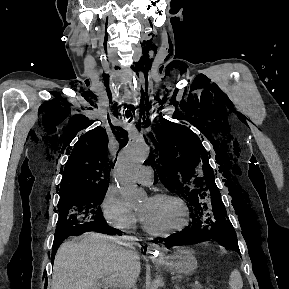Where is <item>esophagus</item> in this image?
<instances>
[{
    "mask_svg": "<svg viewBox=\"0 0 289 289\" xmlns=\"http://www.w3.org/2000/svg\"><path fill=\"white\" fill-rule=\"evenodd\" d=\"M160 251L161 247L154 243L149 244L147 247V254L153 258H157Z\"/></svg>",
    "mask_w": 289,
    "mask_h": 289,
    "instance_id": "esophagus-1",
    "label": "esophagus"
}]
</instances>
